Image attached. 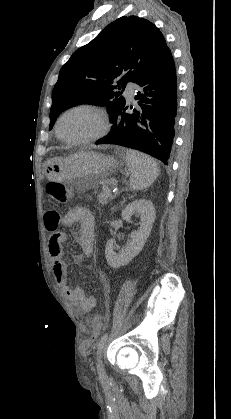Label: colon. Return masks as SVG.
Instances as JSON below:
<instances>
[{"instance_id": "obj_1", "label": "colon", "mask_w": 231, "mask_h": 419, "mask_svg": "<svg viewBox=\"0 0 231 419\" xmlns=\"http://www.w3.org/2000/svg\"><path fill=\"white\" fill-rule=\"evenodd\" d=\"M48 195L59 205H66L71 196L69 187L64 183L51 182L46 187ZM101 331V321L99 316H95L92 322L91 336L84 342L87 346L97 339Z\"/></svg>"}]
</instances>
